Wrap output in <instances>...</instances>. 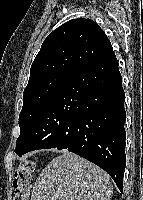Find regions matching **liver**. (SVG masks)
Here are the masks:
<instances>
[{
	"label": "liver",
	"instance_id": "6515ba94",
	"mask_svg": "<svg viewBox=\"0 0 143 200\" xmlns=\"http://www.w3.org/2000/svg\"><path fill=\"white\" fill-rule=\"evenodd\" d=\"M110 176L86 159L63 151L36 179L31 200H111Z\"/></svg>",
	"mask_w": 143,
	"mask_h": 200
}]
</instances>
